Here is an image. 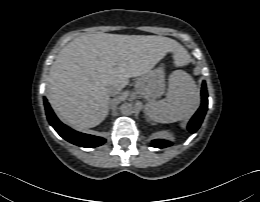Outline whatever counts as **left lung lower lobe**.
<instances>
[{
  "instance_id": "obj_1",
  "label": "left lung lower lobe",
  "mask_w": 260,
  "mask_h": 202,
  "mask_svg": "<svg viewBox=\"0 0 260 202\" xmlns=\"http://www.w3.org/2000/svg\"><path fill=\"white\" fill-rule=\"evenodd\" d=\"M201 95H202V104L188 124V130L191 133H195L198 130V128L200 127V125L204 119L206 111H207L208 94H207L205 82H203V84H202ZM171 145H172V142L167 141V140L156 139V140L152 141V146L156 147V148H164V147H168Z\"/></svg>"
}]
</instances>
